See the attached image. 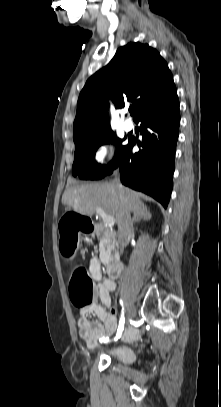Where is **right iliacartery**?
I'll return each instance as SVG.
<instances>
[{"label": "right iliac artery", "instance_id": "82829eb1", "mask_svg": "<svg viewBox=\"0 0 221 407\" xmlns=\"http://www.w3.org/2000/svg\"><path fill=\"white\" fill-rule=\"evenodd\" d=\"M120 304L123 305L122 300L120 301ZM124 323H125V312H124V309H122V314H121V317H120V320H119V326H118L117 334H116V336L114 338V341H117L121 337L123 329H124ZM108 341H109L108 337H103V338L100 339L101 343L102 342L106 343Z\"/></svg>", "mask_w": 221, "mask_h": 407}]
</instances>
